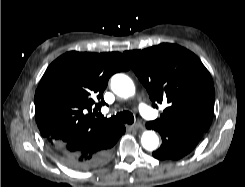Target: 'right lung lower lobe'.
I'll list each match as a JSON object with an SVG mask.
<instances>
[{"label":"right lung lower lobe","mask_w":245,"mask_h":187,"mask_svg":"<svg viewBox=\"0 0 245 187\" xmlns=\"http://www.w3.org/2000/svg\"><path fill=\"white\" fill-rule=\"evenodd\" d=\"M124 132V126H115L105 131L88 133L62 144L54 151L69 167L79 170L94 169L108 160L112 147Z\"/></svg>","instance_id":"obj_1"}]
</instances>
